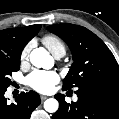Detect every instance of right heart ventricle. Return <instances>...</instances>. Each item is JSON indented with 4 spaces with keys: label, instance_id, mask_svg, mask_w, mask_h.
Masks as SVG:
<instances>
[{
    "label": "right heart ventricle",
    "instance_id": "obj_1",
    "mask_svg": "<svg viewBox=\"0 0 119 119\" xmlns=\"http://www.w3.org/2000/svg\"><path fill=\"white\" fill-rule=\"evenodd\" d=\"M42 42L53 55H56L57 53L65 54L66 52V46L64 42L55 35H45L42 38Z\"/></svg>",
    "mask_w": 119,
    "mask_h": 119
}]
</instances>
